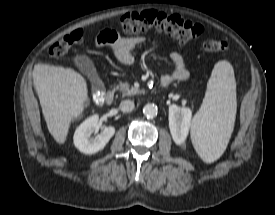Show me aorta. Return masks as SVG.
Wrapping results in <instances>:
<instances>
[{
    "label": "aorta",
    "instance_id": "obj_1",
    "mask_svg": "<svg viewBox=\"0 0 275 215\" xmlns=\"http://www.w3.org/2000/svg\"><path fill=\"white\" fill-rule=\"evenodd\" d=\"M143 114L147 118H154L158 114V108L154 104H146L143 107Z\"/></svg>",
    "mask_w": 275,
    "mask_h": 215
}]
</instances>
